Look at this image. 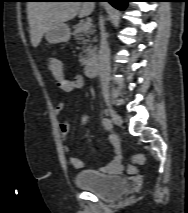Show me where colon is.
<instances>
[{
    "label": "colon",
    "instance_id": "5ec220e1",
    "mask_svg": "<svg viewBox=\"0 0 188 213\" xmlns=\"http://www.w3.org/2000/svg\"><path fill=\"white\" fill-rule=\"evenodd\" d=\"M47 64H48V68L50 72L56 79H60L63 77L64 75L63 67L60 60L55 58H50L48 59ZM144 160H145V157L142 153H138L134 155L131 162L128 165V172L132 174L136 173L138 171V167L144 163Z\"/></svg>",
    "mask_w": 188,
    "mask_h": 213
}]
</instances>
